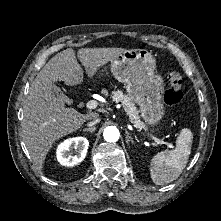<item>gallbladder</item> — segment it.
Returning a JSON list of instances; mask_svg holds the SVG:
<instances>
[{
  "instance_id": "obj_1",
  "label": "gallbladder",
  "mask_w": 221,
  "mask_h": 221,
  "mask_svg": "<svg viewBox=\"0 0 221 221\" xmlns=\"http://www.w3.org/2000/svg\"><path fill=\"white\" fill-rule=\"evenodd\" d=\"M52 90L56 94L57 97H59L63 102L70 104L71 99L67 97L63 91L57 87L55 84H52Z\"/></svg>"
}]
</instances>
